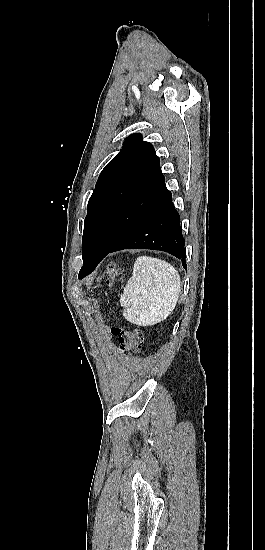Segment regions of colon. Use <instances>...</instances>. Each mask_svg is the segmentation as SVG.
<instances>
[{"label":"colon","mask_w":265,"mask_h":550,"mask_svg":"<svg viewBox=\"0 0 265 550\" xmlns=\"http://www.w3.org/2000/svg\"><path fill=\"white\" fill-rule=\"evenodd\" d=\"M103 278L107 285H113L121 278V272L114 264H109L103 274ZM111 332L118 339V348L121 353L133 354L142 348L144 335L139 329H130L116 325L111 328Z\"/></svg>","instance_id":"colon-1"}]
</instances>
